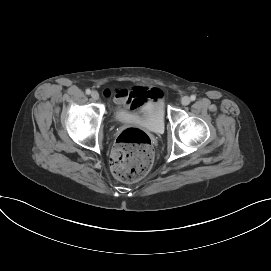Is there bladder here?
<instances>
[{"label":"bladder","mask_w":271,"mask_h":271,"mask_svg":"<svg viewBox=\"0 0 271 271\" xmlns=\"http://www.w3.org/2000/svg\"><path fill=\"white\" fill-rule=\"evenodd\" d=\"M114 118L120 123L140 122L155 133L162 132L165 127L164 106L161 100L147 102L138 110L120 107L115 111Z\"/></svg>","instance_id":"31cf9c89"}]
</instances>
